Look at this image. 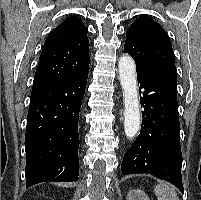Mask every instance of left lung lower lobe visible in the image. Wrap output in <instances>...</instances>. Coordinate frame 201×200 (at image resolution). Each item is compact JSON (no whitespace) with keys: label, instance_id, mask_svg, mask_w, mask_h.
I'll return each instance as SVG.
<instances>
[{"label":"left lung lower lobe","instance_id":"0a47b994","mask_svg":"<svg viewBox=\"0 0 201 200\" xmlns=\"http://www.w3.org/2000/svg\"><path fill=\"white\" fill-rule=\"evenodd\" d=\"M176 77L173 71H137L142 89V126L124 155L121 171L123 175L151 174L172 183L183 193Z\"/></svg>","mask_w":201,"mask_h":200}]
</instances>
